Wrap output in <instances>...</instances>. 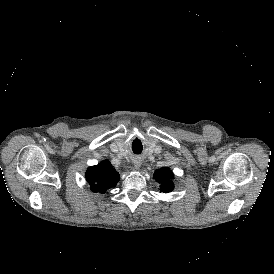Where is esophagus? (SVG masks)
Returning a JSON list of instances; mask_svg holds the SVG:
<instances>
[{
  "label": "esophagus",
  "instance_id": "esophagus-1",
  "mask_svg": "<svg viewBox=\"0 0 274 274\" xmlns=\"http://www.w3.org/2000/svg\"><path fill=\"white\" fill-rule=\"evenodd\" d=\"M141 165H142V160H140V159L133 160V166L135 169H140Z\"/></svg>",
  "mask_w": 274,
  "mask_h": 274
}]
</instances>
